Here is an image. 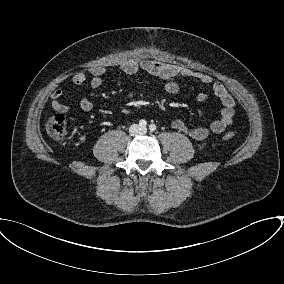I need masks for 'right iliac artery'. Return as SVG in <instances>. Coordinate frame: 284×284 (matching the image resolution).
Masks as SVG:
<instances>
[{
	"instance_id": "right-iliac-artery-1",
	"label": "right iliac artery",
	"mask_w": 284,
	"mask_h": 284,
	"mask_svg": "<svg viewBox=\"0 0 284 284\" xmlns=\"http://www.w3.org/2000/svg\"><path fill=\"white\" fill-rule=\"evenodd\" d=\"M139 125L143 128L146 127L147 126L146 120H144V119L140 120Z\"/></svg>"
}]
</instances>
